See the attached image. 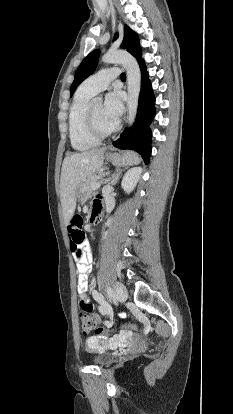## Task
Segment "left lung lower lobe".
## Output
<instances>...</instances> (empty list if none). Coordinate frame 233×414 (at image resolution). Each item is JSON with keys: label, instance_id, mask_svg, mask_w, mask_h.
Wrapping results in <instances>:
<instances>
[{"label": "left lung lower lobe", "instance_id": "left-lung-lower-lobe-1", "mask_svg": "<svg viewBox=\"0 0 233 414\" xmlns=\"http://www.w3.org/2000/svg\"><path fill=\"white\" fill-rule=\"evenodd\" d=\"M138 63L141 69V91L136 121L131 132H123L120 138L113 142V145L120 149H130L138 152L144 162L148 164L152 149V133L149 126L155 115V97L143 59Z\"/></svg>", "mask_w": 233, "mask_h": 414}]
</instances>
